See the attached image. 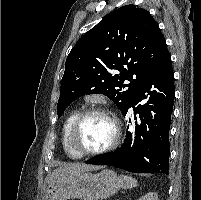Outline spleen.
Instances as JSON below:
<instances>
[{
  "instance_id": "spleen-1",
  "label": "spleen",
  "mask_w": 201,
  "mask_h": 200,
  "mask_svg": "<svg viewBox=\"0 0 201 200\" xmlns=\"http://www.w3.org/2000/svg\"><path fill=\"white\" fill-rule=\"evenodd\" d=\"M119 183L123 189H131L137 186V181L126 175H121L119 177Z\"/></svg>"
}]
</instances>
